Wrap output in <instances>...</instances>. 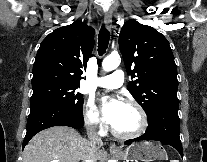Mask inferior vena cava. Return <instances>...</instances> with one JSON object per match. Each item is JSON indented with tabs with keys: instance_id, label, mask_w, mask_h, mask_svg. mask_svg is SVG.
<instances>
[{
	"instance_id": "obj_1",
	"label": "inferior vena cava",
	"mask_w": 207,
	"mask_h": 162,
	"mask_svg": "<svg viewBox=\"0 0 207 162\" xmlns=\"http://www.w3.org/2000/svg\"><path fill=\"white\" fill-rule=\"evenodd\" d=\"M88 140L91 144L89 159L86 162H95L96 150L103 145L101 137L95 133V128L90 127L87 130Z\"/></svg>"
}]
</instances>
